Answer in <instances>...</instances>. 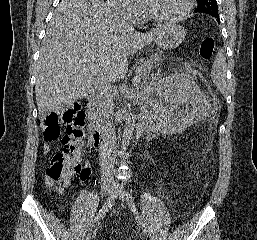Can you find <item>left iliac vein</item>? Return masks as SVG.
<instances>
[{
    "instance_id": "obj_1",
    "label": "left iliac vein",
    "mask_w": 257,
    "mask_h": 240,
    "mask_svg": "<svg viewBox=\"0 0 257 240\" xmlns=\"http://www.w3.org/2000/svg\"><path fill=\"white\" fill-rule=\"evenodd\" d=\"M115 189H116V191L119 192V193L122 192V187H121V185H120L119 183H116V184H115ZM120 198L122 199V202H123V204H124V203H125V200H124L123 196H122V197L120 196Z\"/></svg>"
}]
</instances>
